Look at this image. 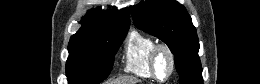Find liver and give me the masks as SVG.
Returning a JSON list of instances; mask_svg holds the SVG:
<instances>
[{"instance_id": "obj_1", "label": "liver", "mask_w": 260, "mask_h": 84, "mask_svg": "<svg viewBox=\"0 0 260 84\" xmlns=\"http://www.w3.org/2000/svg\"><path fill=\"white\" fill-rule=\"evenodd\" d=\"M122 82H127V81L117 80V81H114V82L111 83V84H123ZM130 82H132V81H130Z\"/></svg>"}]
</instances>
